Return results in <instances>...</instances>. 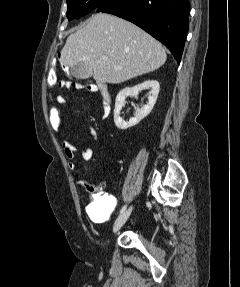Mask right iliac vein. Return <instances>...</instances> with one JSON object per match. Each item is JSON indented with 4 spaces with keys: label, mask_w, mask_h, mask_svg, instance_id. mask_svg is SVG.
I'll return each mask as SVG.
<instances>
[{
    "label": "right iliac vein",
    "mask_w": 240,
    "mask_h": 287,
    "mask_svg": "<svg viewBox=\"0 0 240 287\" xmlns=\"http://www.w3.org/2000/svg\"><path fill=\"white\" fill-rule=\"evenodd\" d=\"M132 212V207H130L129 209H127L125 212H123L115 221L114 225H113V232L117 233L120 228L125 224V222L127 221V219L129 218L130 214Z\"/></svg>",
    "instance_id": "1"
}]
</instances>
